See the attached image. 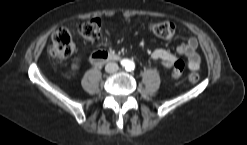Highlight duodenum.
Instances as JSON below:
<instances>
[{"label": "duodenum", "instance_id": "410a0bca", "mask_svg": "<svg viewBox=\"0 0 247 145\" xmlns=\"http://www.w3.org/2000/svg\"><path fill=\"white\" fill-rule=\"evenodd\" d=\"M91 62L96 65H100L106 62L118 61L120 56L108 51H96L91 55Z\"/></svg>", "mask_w": 247, "mask_h": 145}]
</instances>
